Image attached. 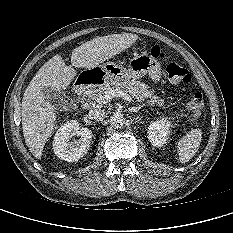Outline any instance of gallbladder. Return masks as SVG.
I'll return each instance as SVG.
<instances>
[{
	"label": "gallbladder",
	"mask_w": 233,
	"mask_h": 233,
	"mask_svg": "<svg viewBox=\"0 0 233 233\" xmlns=\"http://www.w3.org/2000/svg\"><path fill=\"white\" fill-rule=\"evenodd\" d=\"M45 98L56 110H67L71 106V100L63 91H58L52 87H46L42 90Z\"/></svg>",
	"instance_id": "bac80fb5"
}]
</instances>
